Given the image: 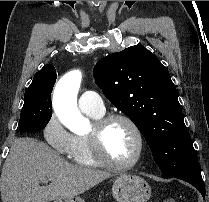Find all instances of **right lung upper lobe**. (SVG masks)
I'll return each instance as SVG.
<instances>
[{"mask_svg": "<svg viewBox=\"0 0 209 202\" xmlns=\"http://www.w3.org/2000/svg\"><path fill=\"white\" fill-rule=\"evenodd\" d=\"M56 69L51 64H46L39 72L34 75V80L39 78H55L56 79Z\"/></svg>", "mask_w": 209, "mask_h": 202, "instance_id": "1", "label": "right lung upper lobe"}]
</instances>
